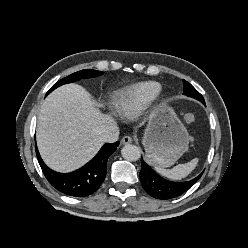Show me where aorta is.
<instances>
[{
  "instance_id": "1",
  "label": "aorta",
  "mask_w": 248,
  "mask_h": 248,
  "mask_svg": "<svg viewBox=\"0 0 248 248\" xmlns=\"http://www.w3.org/2000/svg\"><path fill=\"white\" fill-rule=\"evenodd\" d=\"M122 157L128 161H137L141 156L140 148L135 145H125L121 150Z\"/></svg>"
}]
</instances>
